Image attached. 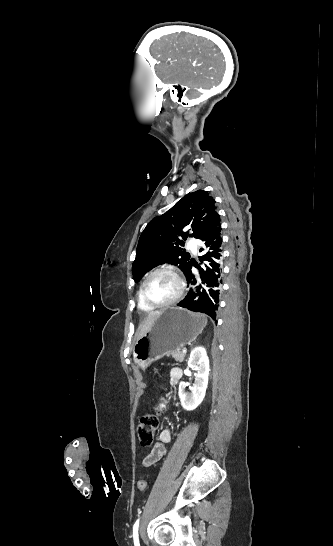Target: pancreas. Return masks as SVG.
<instances>
[{"label":"pancreas","instance_id":"obj_1","mask_svg":"<svg viewBox=\"0 0 333 546\" xmlns=\"http://www.w3.org/2000/svg\"><path fill=\"white\" fill-rule=\"evenodd\" d=\"M177 362H183L185 359V353H183L180 349L173 350L169 353Z\"/></svg>","mask_w":333,"mask_h":546}]
</instances>
